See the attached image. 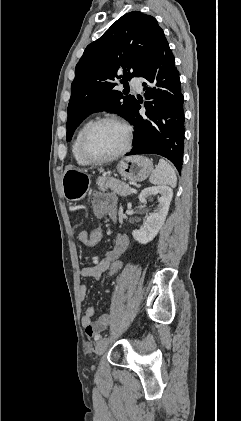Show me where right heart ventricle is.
Listing matches in <instances>:
<instances>
[{"mask_svg": "<svg viewBox=\"0 0 241 421\" xmlns=\"http://www.w3.org/2000/svg\"><path fill=\"white\" fill-rule=\"evenodd\" d=\"M92 121H87V122H85L79 129H78V131H77V133H76V135H75V137H74V140H73V143H72V154H73V157H74V159H75V161L79 164V165H82V166H87V165H89L90 163L87 161V160H85L84 158H83V156L81 155V152H80V139H81V136H82V133H83V131L85 130V128L91 123Z\"/></svg>", "mask_w": 241, "mask_h": 421, "instance_id": "e07e8e85", "label": "right heart ventricle"}]
</instances>
